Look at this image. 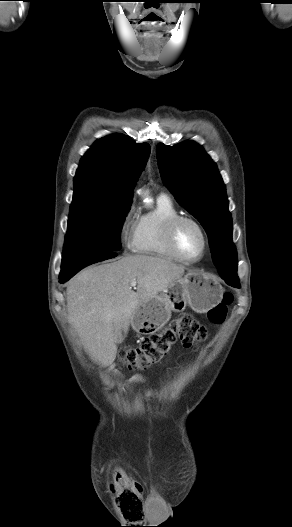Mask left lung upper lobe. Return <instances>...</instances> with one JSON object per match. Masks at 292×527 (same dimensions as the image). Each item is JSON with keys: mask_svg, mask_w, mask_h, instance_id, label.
<instances>
[{"mask_svg": "<svg viewBox=\"0 0 292 527\" xmlns=\"http://www.w3.org/2000/svg\"><path fill=\"white\" fill-rule=\"evenodd\" d=\"M156 151L164 184L204 227L216 267L219 271L237 273L232 218L216 164L192 141L174 146L160 143Z\"/></svg>", "mask_w": 292, "mask_h": 527, "instance_id": "1", "label": "left lung upper lobe"}]
</instances>
